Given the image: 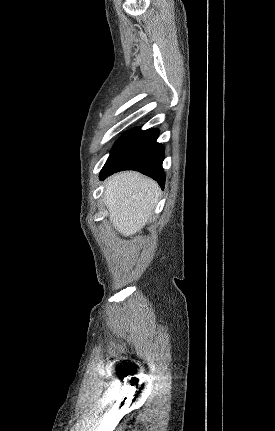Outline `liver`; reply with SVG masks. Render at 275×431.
Returning <instances> with one entry per match:
<instances>
[{
  "mask_svg": "<svg viewBox=\"0 0 275 431\" xmlns=\"http://www.w3.org/2000/svg\"><path fill=\"white\" fill-rule=\"evenodd\" d=\"M160 195L158 184L138 172L125 171L105 181L104 203L114 228L123 236L141 231Z\"/></svg>",
  "mask_w": 275,
  "mask_h": 431,
  "instance_id": "1",
  "label": "liver"
}]
</instances>
